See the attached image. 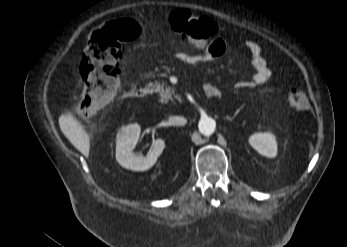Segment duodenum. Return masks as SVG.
Masks as SVG:
<instances>
[{
    "mask_svg": "<svg viewBox=\"0 0 347 247\" xmlns=\"http://www.w3.org/2000/svg\"><path fill=\"white\" fill-rule=\"evenodd\" d=\"M151 92V89L149 87H140V88H132L130 89L126 95L128 97H136V98H143L149 95ZM205 96L207 98H213L217 96L218 92L213 87H206L204 89Z\"/></svg>",
    "mask_w": 347,
    "mask_h": 247,
    "instance_id": "410a0bca",
    "label": "duodenum"
}]
</instances>
